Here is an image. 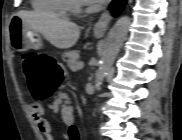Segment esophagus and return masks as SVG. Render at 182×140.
Here are the masks:
<instances>
[{
  "instance_id": "obj_1",
  "label": "esophagus",
  "mask_w": 182,
  "mask_h": 140,
  "mask_svg": "<svg viewBox=\"0 0 182 140\" xmlns=\"http://www.w3.org/2000/svg\"><path fill=\"white\" fill-rule=\"evenodd\" d=\"M111 19L112 15L110 10L104 11L93 28L94 33L97 35H103L106 32Z\"/></svg>"
}]
</instances>
